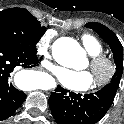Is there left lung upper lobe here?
I'll use <instances>...</instances> for the list:
<instances>
[{
	"label": "left lung upper lobe",
	"instance_id": "1",
	"mask_svg": "<svg viewBox=\"0 0 124 124\" xmlns=\"http://www.w3.org/2000/svg\"><path fill=\"white\" fill-rule=\"evenodd\" d=\"M86 27L95 30L99 36L110 46L113 52L114 62L116 64V71L108 85L117 89L123 74L122 45L117 36L109 28L100 23L90 22L86 24Z\"/></svg>",
	"mask_w": 124,
	"mask_h": 124
}]
</instances>
